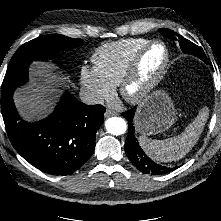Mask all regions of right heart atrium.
<instances>
[{
	"mask_svg": "<svg viewBox=\"0 0 221 221\" xmlns=\"http://www.w3.org/2000/svg\"><path fill=\"white\" fill-rule=\"evenodd\" d=\"M79 81L87 99L92 103H100L113 94L114 87L103 79L94 66H81Z\"/></svg>",
	"mask_w": 221,
	"mask_h": 221,
	"instance_id": "1",
	"label": "right heart atrium"
}]
</instances>
